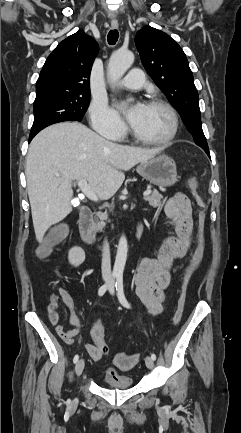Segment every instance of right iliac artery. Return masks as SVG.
I'll return each instance as SVG.
<instances>
[{
    "instance_id": "obj_1",
    "label": "right iliac artery",
    "mask_w": 241,
    "mask_h": 433,
    "mask_svg": "<svg viewBox=\"0 0 241 433\" xmlns=\"http://www.w3.org/2000/svg\"><path fill=\"white\" fill-rule=\"evenodd\" d=\"M114 277H115V276H113V278H114ZM109 285H110V282H108V283L102 285V286L99 288V290H98V295H99V296H103L104 293L106 292V290L108 289ZM78 359H79V356H78V355H75L74 358H73V362L76 363V362L78 361Z\"/></svg>"
}]
</instances>
